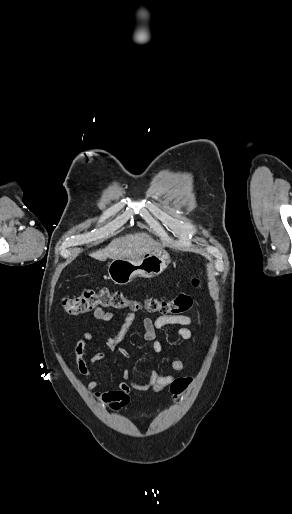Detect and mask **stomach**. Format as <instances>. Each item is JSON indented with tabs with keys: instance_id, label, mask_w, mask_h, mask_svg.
Masks as SVG:
<instances>
[{
	"instance_id": "1",
	"label": "stomach",
	"mask_w": 292,
	"mask_h": 514,
	"mask_svg": "<svg viewBox=\"0 0 292 514\" xmlns=\"http://www.w3.org/2000/svg\"><path fill=\"white\" fill-rule=\"evenodd\" d=\"M170 264V258L165 250L147 252L139 258H118L108 266L110 280L119 286H125L134 278H155L162 274Z\"/></svg>"
}]
</instances>
